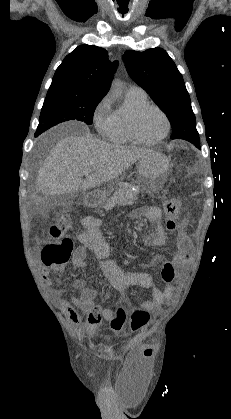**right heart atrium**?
I'll return each instance as SVG.
<instances>
[{"label": "right heart atrium", "mask_w": 231, "mask_h": 419, "mask_svg": "<svg viewBox=\"0 0 231 419\" xmlns=\"http://www.w3.org/2000/svg\"><path fill=\"white\" fill-rule=\"evenodd\" d=\"M93 121L99 134L111 139L116 128L115 112L112 109V100L105 95L96 105L93 111Z\"/></svg>", "instance_id": "right-heart-atrium-1"}]
</instances>
